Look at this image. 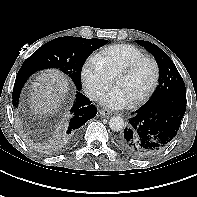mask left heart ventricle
<instances>
[{"mask_svg": "<svg viewBox=\"0 0 197 197\" xmlns=\"http://www.w3.org/2000/svg\"><path fill=\"white\" fill-rule=\"evenodd\" d=\"M153 76L154 69L152 64L144 62L132 74L117 78L114 81V85L119 87L131 102L148 90Z\"/></svg>", "mask_w": 197, "mask_h": 197, "instance_id": "1", "label": "left heart ventricle"}]
</instances>
